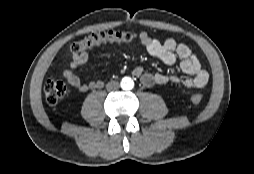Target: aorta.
Returning a JSON list of instances; mask_svg holds the SVG:
<instances>
[{
    "mask_svg": "<svg viewBox=\"0 0 254 174\" xmlns=\"http://www.w3.org/2000/svg\"><path fill=\"white\" fill-rule=\"evenodd\" d=\"M134 86V82L131 78L125 77L121 81V87L123 90H131Z\"/></svg>",
    "mask_w": 254,
    "mask_h": 174,
    "instance_id": "aorta-1",
    "label": "aorta"
}]
</instances>
